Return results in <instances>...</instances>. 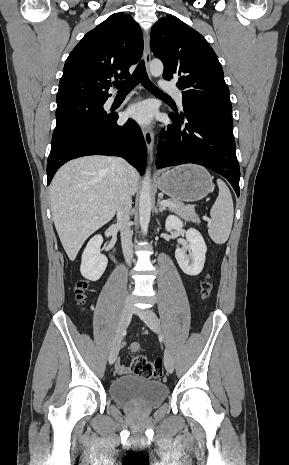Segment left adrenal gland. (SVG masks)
<instances>
[{
	"instance_id": "a2214340",
	"label": "left adrenal gland",
	"mask_w": 289,
	"mask_h": 465,
	"mask_svg": "<svg viewBox=\"0 0 289 465\" xmlns=\"http://www.w3.org/2000/svg\"><path fill=\"white\" fill-rule=\"evenodd\" d=\"M158 207L159 212H163L166 210V208L161 204L160 199H158Z\"/></svg>"
}]
</instances>
